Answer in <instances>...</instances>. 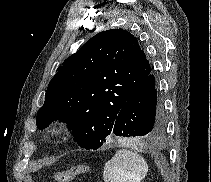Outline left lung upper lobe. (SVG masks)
Wrapping results in <instances>:
<instances>
[{"label": "left lung upper lobe", "mask_w": 211, "mask_h": 182, "mask_svg": "<svg viewBox=\"0 0 211 182\" xmlns=\"http://www.w3.org/2000/svg\"><path fill=\"white\" fill-rule=\"evenodd\" d=\"M150 71L144 51L130 32H100L58 67L38 111L37 127L44 129L61 120L80 147L98 149Z\"/></svg>", "instance_id": "5c2ea615"}]
</instances>
